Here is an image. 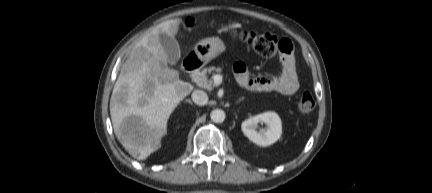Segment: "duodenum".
Here are the masks:
<instances>
[{
	"mask_svg": "<svg viewBox=\"0 0 432 193\" xmlns=\"http://www.w3.org/2000/svg\"><path fill=\"white\" fill-rule=\"evenodd\" d=\"M201 60L197 56H190L186 58L182 63V68L184 72L188 75H194L198 73L201 68Z\"/></svg>",
	"mask_w": 432,
	"mask_h": 193,
	"instance_id": "410a0bca",
	"label": "duodenum"
}]
</instances>
